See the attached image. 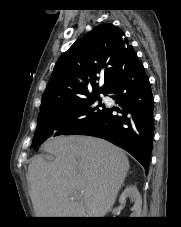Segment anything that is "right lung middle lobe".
<instances>
[{
  "label": "right lung middle lobe",
  "instance_id": "dd1d6c3e",
  "mask_svg": "<svg viewBox=\"0 0 181 227\" xmlns=\"http://www.w3.org/2000/svg\"><path fill=\"white\" fill-rule=\"evenodd\" d=\"M106 93L103 92V94ZM99 94L40 110L31 147L37 150L38 146L51 136L76 134L94 124L105 111L104 105L94 104L95 100H101Z\"/></svg>",
  "mask_w": 181,
  "mask_h": 227
}]
</instances>
